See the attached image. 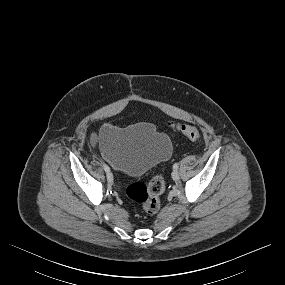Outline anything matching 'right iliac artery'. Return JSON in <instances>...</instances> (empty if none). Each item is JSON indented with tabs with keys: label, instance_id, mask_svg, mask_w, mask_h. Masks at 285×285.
<instances>
[{
	"label": "right iliac artery",
	"instance_id": "obj_1",
	"mask_svg": "<svg viewBox=\"0 0 285 285\" xmlns=\"http://www.w3.org/2000/svg\"><path fill=\"white\" fill-rule=\"evenodd\" d=\"M103 168L106 172H109L110 171V168L109 166H107L106 164L103 165Z\"/></svg>",
	"mask_w": 285,
	"mask_h": 285
}]
</instances>
